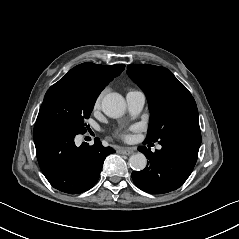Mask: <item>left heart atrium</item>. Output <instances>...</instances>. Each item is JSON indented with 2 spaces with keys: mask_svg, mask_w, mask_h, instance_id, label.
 <instances>
[{
  "mask_svg": "<svg viewBox=\"0 0 239 239\" xmlns=\"http://www.w3.org/2000/svg\"><path fill=\"white\" fill-rule=\"evenodd\" d=\"M137 128L136 125L130 127L129 129L127 130H119L118 133L120 134L121 137H123L124 139H129L130 138V134H129V131L131 130H135Z\"/></svg>",
  "mask_w": 239,
  "mask_h": 239,
  "instance_id": "left-heart-atrium-1",
  "label": "left heart atrium"
}]
</instances>
